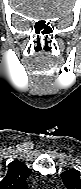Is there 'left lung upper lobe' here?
I'll list each match as a JSON object with an SVG mask.
<instances>
[{
	"label": "left lung upper lobe",
	"mask_w": 81,
	"mask_h": 189,
	"mask_svg": "<svg viewBox=\"0 0 81 189\" xmlns=\"http://www.w3.org/2000/svg\"><path fill=\"white\" fill-rule=\"evenodd\" d=\"M61 178L68 189H81V178L78 170L64 171Z\"/></svg>",
	"instance_id": "1"
}]
</instances>
